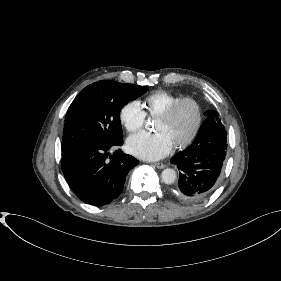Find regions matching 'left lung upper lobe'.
I'll return each mask as SVG.
<instances>
[{
  "label": "left lung upper lobe",
  "instance_id": "left-lung-upper-lobe-1",
  "mask_svg": "<svg viewBox=\"0 0 281 281\" xmlns=\"http://www.w3.org/2000/svg\"><path fill=\"white\" fill-rule=\"evenodd\" d=\"M205 114H206V115L211 114V115H213L214 117H216V118L218 119V114H217V112H215V111H213V110L207 111ZM219 122H220V120H219ZM220 123H221V122H220Z\"/></svg>",
  "mask_w": 281,
  "mask_h": 281
}]
</instances>
